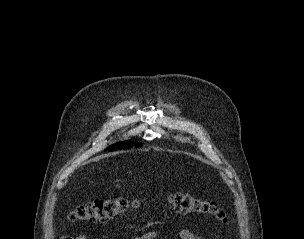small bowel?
<instances>
[{
    "mask_svg": "<svg viewBox=\"0 0 304 239\" xmlns=\"http://www.w3.org/2000/svg\"><path fill=\"white\" fill-rule=\"evenodd\" d=\"M156 236L155 232H147L141 236L136 237V239H153ZM179 239H203L198 233L189 230V229H181L178 232ZM60 239H88L87 234H79L75 237H61Z\"/></svg>",
    "mask_w": 304,
    "mask_h": 239,
    "instance_id": "small-bowel-1",
    "label": "small bowel"
}]
</instances>
